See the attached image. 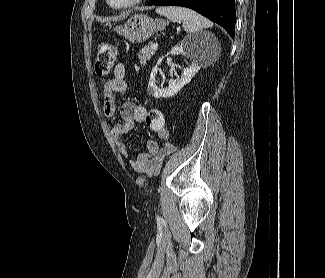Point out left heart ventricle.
Returning <instances> with one entry per match:
<instances>
[{
  "label": "left heart ventricle",
  "mask_w": 325,
  "mask_h": 278,
  "mask_svg": "<svg viewBox=\"0 0 325 278\" xmlns=\"http://www.w3.org/2000/svg\"><path fill=\"white\" fill-rule=\"evenodd\" d=\"M112 4L114 5H121V4H124L130 0H110Z\"/></svg>",
  "instance_id": "1"
}]
</instances>
